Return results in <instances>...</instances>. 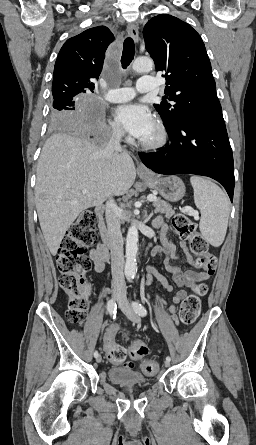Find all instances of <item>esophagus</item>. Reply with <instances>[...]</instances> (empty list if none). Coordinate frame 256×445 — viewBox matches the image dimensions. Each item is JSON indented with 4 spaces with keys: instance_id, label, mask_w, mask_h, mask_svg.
<instances>
[{
    "instance_id": "obj_1",
    "label": "esophagus",
    "mask_w": 256,
    "mask_h": 445,
    "mask_svg": "<svg viewBox=\"0 0 256 445\" xmlns=\"http://www.w3.org/2000/svg\"><path fill=\"white\" fill-rule=\"evenodd\" d=\"M127 32L129 36L135 41L138 42L139 40V31L136 25L133 23H130L127 25ZM137 171L144 173V174H150L149 170L142 164H138Z\"/></svg>"
}]
</instances>
